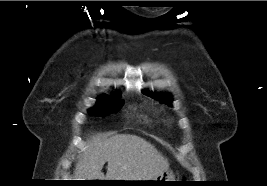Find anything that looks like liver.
<instances>
[{"label":"liver","instance_id":"1","mask_svg":"<svg viewBox=\"0 0 267 186\" xmlns=\"http://www.w3.org/2000/svg\"><path fill=\"white\" fill-rule=\"evenodd\" d=\"M168 168V160L141 137L120 134L102 140L93 136L87 152L76 163L74 175L76 180L149 181Z\"/></svg>","mask_w":267,"mask_h":186}]
</instances>
